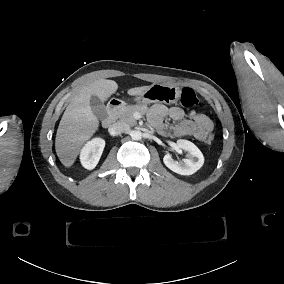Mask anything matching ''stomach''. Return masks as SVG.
<instances>
[{"mask_svg": "<svg viewBox=\"0 0 284 284\" xmlns=\"http://www.w3.org/2000/svg\"><path fill=\"white\" fill-rule=\"evenodd\" d=\"M180 88L161 83H154L134 100L139 104L163 103L174 104L180 98Z\"/></svg>", "mask_w": 284, "mask_h": 284, "instance_id": "0dacf381", "label": "stomach"}]
</instances>
